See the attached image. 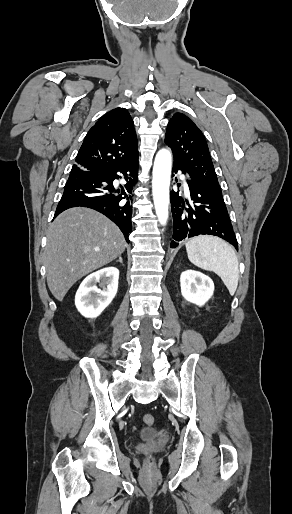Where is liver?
Listing matches in <instances>:
<instances>
[{
  "mask_svg": "<svg viewBox=\"0 0 292 514\" xmlns=\"http://www.w3.org/2000/svg\"><path fill=\"white\" fill-rule=\"evenodd\" d=\"M125 246L116 224L95 210L71 208L60 214L47 230L45 248L47 284L54 298L62 302L77 280L119 258Z\"/></svg>",
  "mask_w": 292,
  "mask_h": 514,
  "instance_id": "liver-1",
  "label": "liver"
}]
</instances>
